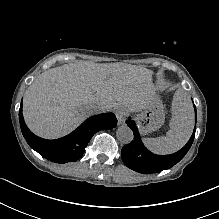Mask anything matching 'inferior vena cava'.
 <instances>
[{
  "label": "inferior vena cava",
  "instance_id": "obj_1",
  "mask_svg": "<svg viewBox=\"0 0 219 219\" xmlns=\"http://www.w3.org/2000/svg\"><path fill=\"white\" fill-rule=\"evenodd\" d=\"M89 110L92 112L93 115H96V114H98V113H105V112H108V111L102 109L101 106H98V105H96V104H91V105L89 106Z\"/></svg>",
  "mask_w": 219,
  "mask_h": 219
}]
</instances>
